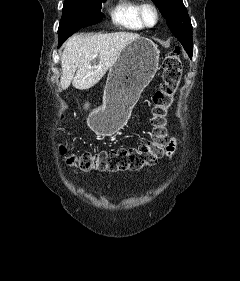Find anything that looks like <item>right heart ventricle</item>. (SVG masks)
I'll use <instances>...</instances> for the list:
<instances>
[{"label":"right heart ventricle","instance_id":"right-heart-ventricle-1","mask_svg":"<svg viewBox=\"0 0 240 281\" xmlns=\"http://www.w3.org/2000/svg\"><path fill=\"white\" fill-rule=\"evenodd\" d=\"M139 5L138 0H118L110 12L112 22L126 30H142L144 26L138 16Z\"/></svg>","mask_w":240,"mask_h":281}]
</instances>
